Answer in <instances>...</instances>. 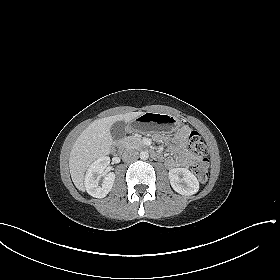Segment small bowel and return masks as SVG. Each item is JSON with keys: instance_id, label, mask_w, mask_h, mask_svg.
Wrapping results in <instances>:
<instances>
[{"instance_id": "obj_1", "label": "small bowel", "mask_w": 280, "mask_h": 280, "mask_svg": "<svg viewBox=\"0 0 280 280\" xmlns=\"http://www.w3.org/2000/svg\"><path fill=\"white\" fill-rule=\"evenodd\" d=\"M189 132L190 128L183 125L171 140L172 155L165 162L167 168L189 167L200 160V156L187 149V136Z\"/></svg>"}]
</instances>
